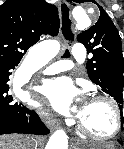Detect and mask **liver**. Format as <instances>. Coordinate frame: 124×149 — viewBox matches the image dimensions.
<instances>
[{
	"label": "liver",
	"mask_w": 124,
	"mask_h": 149,
	"mask_svg": "<svg viewBox=\"0 0 124 149\" xmlns=\"http://www.w3.org/2000/svg\"><path fill=\"white\" fill-rule=\"evenodd\" d=\"M33 137L24 135L0 136V149H30Z\"/></svg>",
	"instance_id": "obj_1"
}]
</instances>
